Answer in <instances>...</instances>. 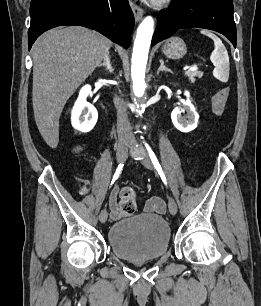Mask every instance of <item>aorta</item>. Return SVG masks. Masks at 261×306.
Segmentation results:
<instances>
[{"instance_id": "762f6f07", "label": "aorta", "mask_w": 261, "mask_h": 306, "mask_svg": "<svg viewBox=\"0 0 261 306\" xmlns=\"http://www.w3.org/2000/svg\"><path fill=\"white\" fill-rule=\"evenodd\" d=\"M153 32L154 20L151 16H147L137 29L132 53L131 77L133 91L138 98L144 95L146 88L145 70Z\"/></svg>"}]
</instances>
